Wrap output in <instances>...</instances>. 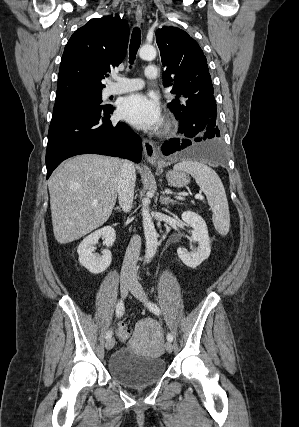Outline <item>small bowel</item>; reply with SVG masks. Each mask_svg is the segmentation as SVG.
Segmentation results:
<instances>
[{
  "label": "small bowel",
  "instance_id": "small-bowel-1",
  "mask_svg": "<svg viewBox=\"0 0 299 427\" xmlns=\"http://www.w3.org/2000/svg\"><path fill=\"white\" fill-rule=\"evenodd\" d=\"M123 323L124 322H121L120 324H119V327H121L122 325H123ZM118 327V328H119ZM118 334H119V332H118ZM119 338H120V340L122 341V342H125L127 339H125L121 334H119Z\"/></svg>",
  "mask_w": 299,
  "mask_h": 427
}]
</instances>
